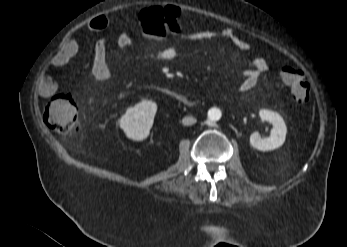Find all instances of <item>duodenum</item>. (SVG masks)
<instances>
[{"mask_svg":"<svg viewBox=\"0 0 347 247\" xmlns=\"http://www.w3.org/2000/svg\"><path fill=\"white\" fill-rule=\"evenodd\" d=\"M170 97L180 102L183 105H191L195 103L193 100H189L185 95L179 92H172Z\"/></svg>","mask_w":347,"mask_h":247,"instance_id":"duodenum-1","label":"duodenum"}]
</instances>
